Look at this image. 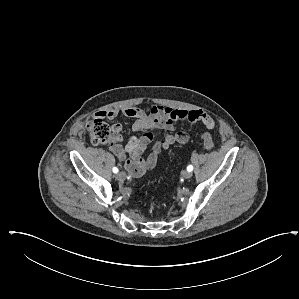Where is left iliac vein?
Returning a JSON list of instances; mask_svg holds the SVG:
<instances>
[{"instance_id":"4c4485c4","label":"left iliac vein","mask_w":299,"mask_h":299,"mask_svg":"<svg viewBox=\"0 0 299 299\" xmlns=\"http://www.w3.org/2000/svg\"><path fill=\"white\" fill-rule=\"evenodd\" d=\"M182 177L185 179H189L192 177V173L190 171H183L182 172Z\"/></svg>"}]
</instances>
